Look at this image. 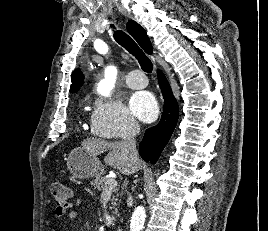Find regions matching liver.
I'll return each instance as SVG.
<instances>
[{"label": "liver", "mask_w": 268, "mask_h": 231, "mask_svg": "<svg viewBox=\"0 0 268 231\" xmlns=\"http://www.w3.org/2000/svg\"><path fill=\"white\" fill-rule=\"evenodd\" d=\"M82 146L94 155L108 152L104 158L105 163L125 175L135 173L141 168L139 160L137 162L130 160L123 142H108L99 138H87L82 142Z\"/></svg>", "instance_id": "obj_1"}]
</instances>
